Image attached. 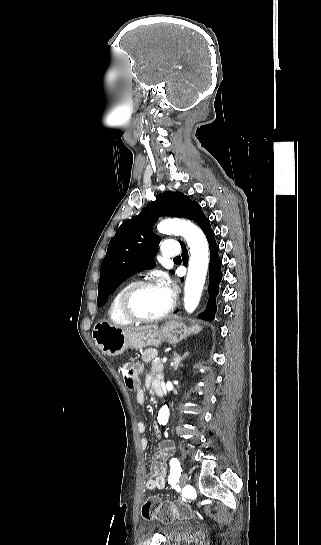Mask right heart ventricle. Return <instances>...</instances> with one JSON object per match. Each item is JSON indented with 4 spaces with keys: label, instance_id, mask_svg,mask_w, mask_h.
<instances>
[{
    "label": "right heart ventricle",
    "instance_id": "obj_1",
    "mask_svg": "<svg viewBox=\"0 0 321 545\" xmlns=\"http://www.w3.org/2000/svg\"><path fill=\"white\" fill-rule=\"evenodd\" d=\"M133 282H127L123 284L112 296V298L109 301L108 307H107V317L110 322V324L116 328H124L129 326L130 324L126 322L120 315L119 312V298L122 294V292Z\"/></svg>",
    "mask_w": 321,
    "mask_h": 545
}]
</instances>
